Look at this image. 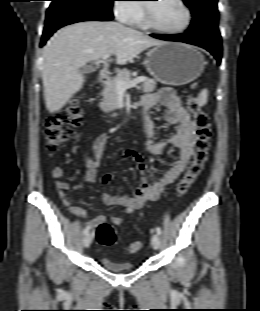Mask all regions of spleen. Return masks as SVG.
Wrapping results in <instances>:
<instances>
[{
	"label": "spleen",
	"mask_w": 260,
	"mask_h": 311,
	"mask_svg": "<svg viewBox=\"0 0 260 311\" xmlns=\"http://www.w3.org/2000/svg\"><path fill=\"white\" fill-rule=\"evenodd\" d=\"M208 100V90L207 89H203L197 98V104L198 106H204L207 103Z\"/></svg>",
	"instance_id": "3e777b00"
}]
</instances>
